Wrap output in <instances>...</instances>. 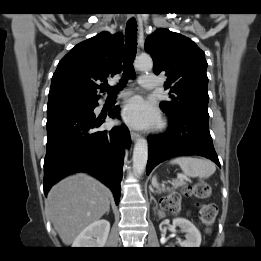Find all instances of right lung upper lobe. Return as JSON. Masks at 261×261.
Here are the masks:
<instances>
[{
    "label": "right lung upper lobe",
    "instance_id": "1",
    "mask_svg": "<svg viewBox=\"0 0 261 261\" xmlns=\"http://www.w3.org/2000/svg\"><path fill=\"white\" fill-rule=\"evenodd\" d=\"M122 33L103 31L77 44L59 62L52 77L49 100L73 98L97 101L107 78L118 74L123 57Z\"/></svg>",
    "mask_w": 261,
    "mask_h": 261
}]
</instances>
